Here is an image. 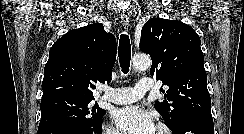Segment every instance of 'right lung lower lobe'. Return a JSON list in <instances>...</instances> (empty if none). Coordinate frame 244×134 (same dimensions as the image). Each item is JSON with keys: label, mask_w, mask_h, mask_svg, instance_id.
Here are the masks:
<instances>
[{"label": "right lung lower lobe", "mask_w": 244, "mask_h": 134, "mask_svg": "<svg viewBox=\"0 0 244 134\" xmlns=\"http://www.w3.org/2000/svg\"><path fill=\"white\" fill-rule=\"evenodd\" d=\"M43 134H102V123L95 126L59 125L46 130Z\"/></svg>", "instance_id": "1"}]
</instances>
